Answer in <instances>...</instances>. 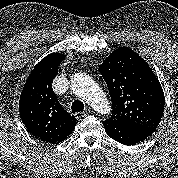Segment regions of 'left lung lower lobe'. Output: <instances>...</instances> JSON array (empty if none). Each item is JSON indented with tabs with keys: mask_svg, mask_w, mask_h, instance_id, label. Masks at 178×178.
Segmentation results:
<instances>
[{
	"mask_svg": "<svg viewBox=\"0 0 178 178\" xmlns=\"http://www.w3.org/2000/svg\"><path fill=\"white\" fill-rule=\"evenodd\" d=\"M109 137L124 145H134L150 136L155 129L107 119L103 122Z\"/></svg>",
	"mask_w": 178,
	"mask_h": 178,
	"instance_id": "left-lung-lower-lobe-1",
	"label": "left lung lower lobe"
}]
</instances>
